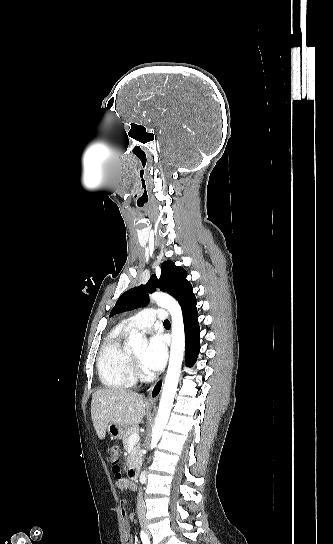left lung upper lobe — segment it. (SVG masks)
<instances>
[{
    "instance_id": "obj_1",
    "label": "left lung upper lobe",
    "mask_w": 333,
    "mask_h": 544,
    "mask_svg": "<svg viewBox=\"0 0 333 544\" xmlns=\"http://www.w3.org/2000/svg\"><path fill=\"white\" fill-rule=\"evenodd\" d=\"M187 272L182 267L176 266L172 261L161 264V275L157 279L152 275L146 285H140L123 293L113 307L110 317L121 312L130 311L146 306L149 302L148 293L156 287L173 296L181 307L196 301L191 283L186 279Z\"/></svg>"
}]
</instances>
